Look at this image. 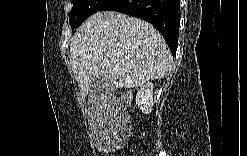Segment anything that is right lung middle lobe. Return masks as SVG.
Listing matches in <instances>:
<instances>
[{
	"label": "right lung middle lobe",
	"instance_id": "right-lung-middle-lobe-1",
	"mask_svg": "<svg viewBox=\"0 0 247 156\" xmlns=\"http://www.w3.org/2000/svg\"><path fill=\"white\" fill-rule=\"evenodd\" d=\"M108 0H73L69 21L73 28L79 27L90 15L98 12Z\"/></svg>",
	"mask_w": 247,
	"mask_h": 156
}]
</instances>
